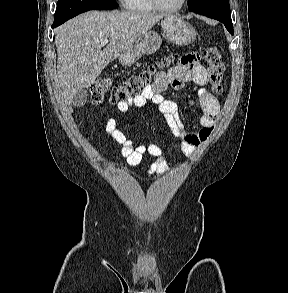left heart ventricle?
Masks as SVG:
<instances>
[{
  "instance_id": "b2bd125f",
  "label": "left heart ventricle",
  "mask_w": 288,
  "mask_h": 293,
  "mask_svg": "<svg viewBox=\"0 0 288 293\" xmlns=\"http://www.w3.org/2000/svg\"><path fill=\"white\" fill-rule=\"evenodd\" d=\"M158 1L166 7H174L180 3V0H158Z\"/></svg>"
}]
</instances>
